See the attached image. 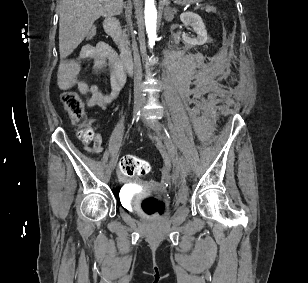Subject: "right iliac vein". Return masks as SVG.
Segmentation results:
<instances>
[{"instance_id":"obj_1","label":"right iliac vein","mask_w":308,"mask_h":283,"mask_svg":"<svg viewBox=\"0 0 308 283\" xmlns=\"http://www.w3.org/2000/svg\"><path fill=\"white\" fill-rule=\"evenodd\" d=\"M142 105V98L137 97L135 99V103H134V114H133V118L137 117V112L139 111L140 107ZM118 161V154H116L115 159H114V166L117 164Z\"/></svg>"}]
</instances>
